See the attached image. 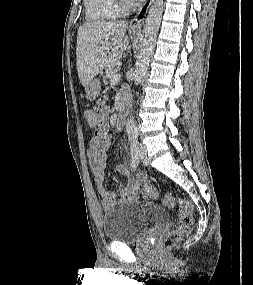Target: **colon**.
<instances>
[{
  "mask_svg": "<svg viewBox=\"0 0 253 285\" xmlns=\"http://www.w3.org/2000/svg\"><path fill=\"white\" fill-rule=\"evenodd\" d=\"M85 117L91 127H97L101 124L98 112L88 110L85 113ZM162 203L167 207H173L176 203L179 204V224L174 230L169 232L163 240V246L165 248H171L190 234L194 223V216L190 202L183 197H177L172 193H167L163 197Z\"/></svg>",
  "mask_w": 253,
  "mask_h": 285,
  "instance_id": "5ec220e1",
  "label": "colon"
}]
</instances>
